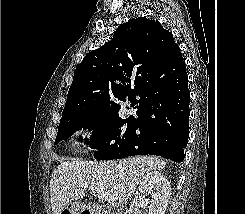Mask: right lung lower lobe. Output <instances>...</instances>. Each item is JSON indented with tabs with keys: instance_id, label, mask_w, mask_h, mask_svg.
Segmentation results:
<instances>
[{
	"instance_id": "98d812e1",
	"label": "right lung lower lobe",
	"mask_w": 245,
	"mask_h": 214,
	"mask_svg": "<svg viewBox=\"0 0 245 214\" xmlns=\"http://www.w3.org/2000/svg\"><path fill=\"white\" fill-rule=\"evenodd\" d=\"M189 102L188 77L175 85L164 79L155 84L136 107L126 143L110 152L112 159L158 155L182 162L189 136Z\"/></svg>"
}]
</instances>
